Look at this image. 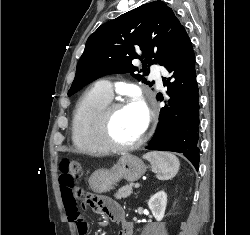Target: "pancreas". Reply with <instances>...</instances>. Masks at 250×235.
I'll use <instances>...</instances> for the list:
<instances>
[{
  "label": "pancreas",
  "mask_w": 250,
  "mask_h": 235,
  "mask_svg": "<svg viewBox=\"0 0 250 235\" xmlns=\"http://www.w3.org/2000/svg\"><path fill=\"white\" fill-rule=\"evenodd\" d=\"M132 187H133V184L130 183L126 186H123L121 187L117 193L114 195V197L117 199V200H120V199H125L127 197H129L132 193Z\"/></svg>",
  "instance_id": "pancreas-1"
}]
</instances>
